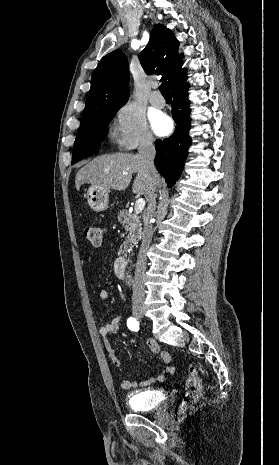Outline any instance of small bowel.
I'll use <instances>...</instances> for the list:
<instances>
[{
  "label": "small bowel",
  "mask_w": 279,
  "mask_h": 465,
  "mask_svg": "<svg viewBox=\"0 0 279 465\" xmlns=\"http://www.w3.org/2000/svg\"><path fill=\"white\" fill-rule=\"evenodd\" d=\"M96 294H97V298L101 301H105L109 297L108 291L103 287L98 288ZM120 326H121V316H116L111 321L103 324L100 327L99 332L101 336L104 338V346H105V349L109 355V358L113 366L121 372L123 371L121 361L110 340V337L119 330ZM146 344L153 354L159 355V361L167 363V364L171 362L170 354L168 352L161 351L158 343L154 339H151V338L147 339ZM170 373H172V369L168 368L165 374L160 375L158 377L152 376L141 382L124 379L121 382V387L124 390L135 389L138 387H148L156 382L163 381L166 378V375Z\"/></svg>",
  "instance_id": "obj_1"
}]
</instances>
